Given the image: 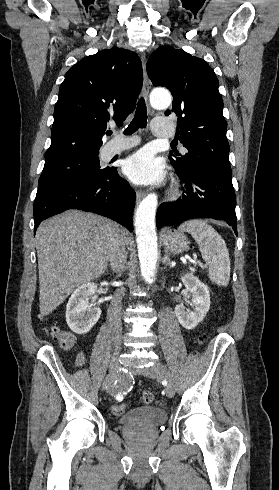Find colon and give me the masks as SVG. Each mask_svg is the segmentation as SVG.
<instances>
[{"label":"colon","instance_id":"colon-1","mask_svg":"<svg viewBox=\"0 0 279 490\" xmlns=\"http://www.w3.org/2000/svg\"><path fill=\"white\" fill-rule=\"evenodd\" d=\"M43 332L47 335H50L52 338H54L56 341H58L59 345L61 348L65 350H69L72 348L75 342V338L72 333L66 332V331H61L57 326L51 325L44 327ZM153 394L152 392L146 391L143 394L142 400L146 404H150L153 401ZM128 409V405L126 403H119L115 404L112 406V412L114 415L120 416L123 415Z\"/></svg>","mask_w":279,"mask_h":490}]
</instances>
